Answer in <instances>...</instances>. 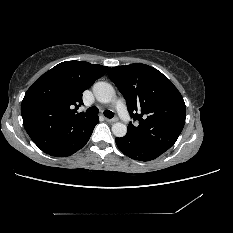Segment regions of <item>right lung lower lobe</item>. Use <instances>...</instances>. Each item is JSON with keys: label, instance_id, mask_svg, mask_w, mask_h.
<instances>
[{"label": "right lung lower lobe", "instance_id": "98d812e1", "mask_svg": "<svg viewBox=\"0 0 233 233\" xmlns=\"http://www.w3.org/2000/svg\"><path fill=\"white\" fill-rule=\"evenodd\" d=\"M98 122H99L98 116H94V118L91 120L89 125L86 127V129L81 133V135L76 139V141L73 144L61 150L60 152L52 154L51 156H56V157L70 156L79 149H81L88 142L92 134V131Z\"/></svg>", "mask_w": 233, "mask_h": 233}]
</instances>
